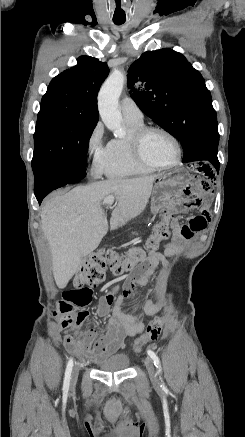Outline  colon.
<instances>
[{"mask_svg":"<svg viewBox=\"0 0 245 437\" xmlns=\"http://www.w3.org/2000/svg\"><path fill=\"white\" fill-rule=\"evenodd\" d=\"M174 218V210L165 207L160 211V221L155 225L152 235L147 239L145 247L155 250L162 241L171 236L169 223ZM144 262V251L135 248L123 255L112 249H99L90 255L81 265L79 271L71 281L72 288L63 293L62 300L58 303L56 314L59 316L63 328L73 326L69 336L79 338L82 336L80 324L83 323L88 312L84 309L92 301L95 287L101 283L106 271L113 275H123L136 270ZM140 263L139 266H137ZM163 319L153 320L146 331L134 341V350L150 341H154L161 334Z\"/></svg>","mask_w":245,"mask_h":437,"instance_id":"obj_1","label":"colon"}]
</instances>
